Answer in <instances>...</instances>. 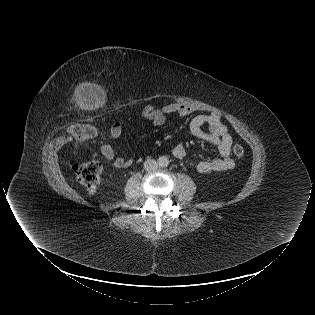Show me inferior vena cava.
Masks as SVG:
<instances>
[{
	"label": "inferior vena cava",
	"instance_id": "inferior-vena-cava-1",
	"mask_svg": "<svg viewBox=\"0 0 315 315\" xmlns=\"http://www.w3.org/2000/svg\"><path fill=\"white\" fill-rule=\"evenodd\" d=\"M158 166L157 162L154 160V159H147L145 162H144V168L145 170L147 171H151V170H154L156 169Z\"/></svg>",
	"mask_w": 315,
	"mask_h": 315
}]
</instances>
